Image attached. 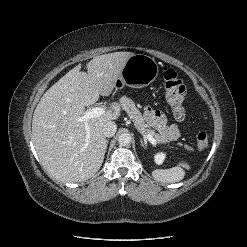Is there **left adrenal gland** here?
<instances>
[{
	"label": "left adrenal gland",
	"instance_id": "left-adrenal-gland-1",
	"mask_svg": "<svg viewBox=\"0 0 247 247\" xmlns=\"http://www.w3.org/2000/svg\"><path fill=\"white\" fill-rule=\"evenodd\" d=\"M141 145H142L144 148H146V147H147V143H146V142H144L142 139H141Z\"/></svg>",
	"mask_w": 247,
	"mask_h": 247
}]
</instances>
